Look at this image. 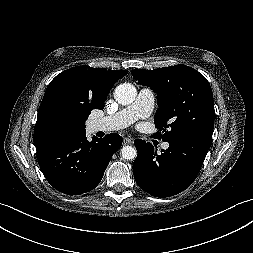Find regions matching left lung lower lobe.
<instances>
[{"label":"left lung lower lobe","mask_w":253,"mask_h":253,"mask_svg":"<svg viewBox=\"0 0 253 253\" xmlns=\"http://www.w3.org/2000/svg\"><path fill=\"white\" fill-rule=\"evenodd\" d=\"M138 151L133 164L136 183L156 197H169L187 189L199 173L211 140L189 138L169 143L158 154L153 145L140 139L134 141Z\"/></svg>","instance_id":"0a47b994"}]
</instances>
